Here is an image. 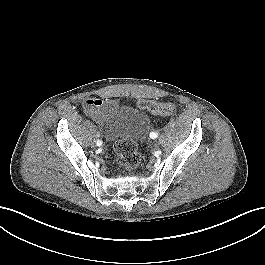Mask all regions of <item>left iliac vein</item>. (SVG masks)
Masks as SVG:
<instances>
[{
  "label": "left iliac vein",
  "mask_w": 265,
  "mask_h": 265,
  "mask_svg": "<svg viewBox=\"0 0 265 265\" xmlns=\"http://www.w3.org/2000/svg\"><path fill=\"white\" fill-rule=\"evenodd\" d=\"M159 141H160V143H161L162 145L165 143V140H164L163 137H160Z\"/></svg>",
  "instance_id": "left-iliac-vein-1"
}]
</instances>
